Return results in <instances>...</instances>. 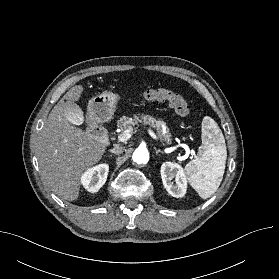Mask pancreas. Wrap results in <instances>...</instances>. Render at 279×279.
<instances>
[{
  "instance_id": "pancreas-1",
  "label": "pancreas",
  "mask_w": 279,
  "mask_h": 279,
  "mask_svg": "<svg viewBox=\"0 0 279 279\" xmlns=\"http://www.w3.org/2000/svg\"><path fill=\"white\" fill-rule=\"evenodd\" d=\"M139 123H142L143 125H150L152 128L156 129L157 134L162 139H164L167 143H169L171 141V136L168 132H167V135L165 137H163V134H162L163 122L160 120H157L153 116L144 115V114L134 115L133 118L123 116L118 120L117 126L121 130L132 131L135 126H139Z\"/></svg>"
}]
</instances>
